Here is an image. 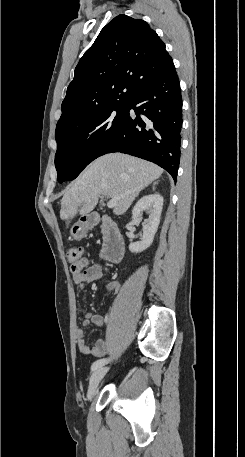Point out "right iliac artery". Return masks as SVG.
Wrapping results in <instances>:
<instances>
[{
  "mask_svg": "<svg viewBox=\"0 0 245 457\" xmlns=\"http://www.w3.org/2000/svg\"><path fill=\"white\" fill-rule=\"evenodd\" d=\"M107 362H108L107 358H101L92 364L91 370L94 371V370L102 367L103 365H105Z\"/></svg>",
  "mask_w": 245,
  "mask_h": 457,
  "instance_id": "1",
  "label": "right iliac artery"
}]
</instances>
